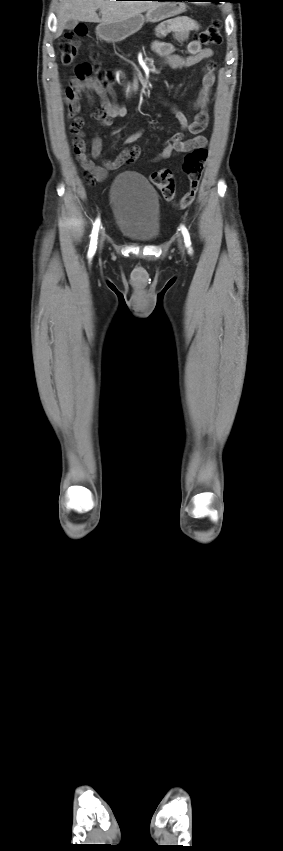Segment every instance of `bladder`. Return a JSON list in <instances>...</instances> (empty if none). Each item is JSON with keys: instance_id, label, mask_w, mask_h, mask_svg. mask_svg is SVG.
I'll list each match as a JSON object with an SVG mask.
<instances>
[{"instance_id": "31cf9c89", "label": "bladder", "mask_w": 283, "mask_h": 851, "mask_svg": "<svg viewBox=\"0 0 283 851\" xmlns=\"http://www.w3.org/2000/svg\"><path fill=\"white\" fill-rule=\"evenodd\" d=\"M118 230L127 238L151 243L160 235V203L156 190L134 172L119 174L110 188Z\"/></svg>"}]
</instances>
